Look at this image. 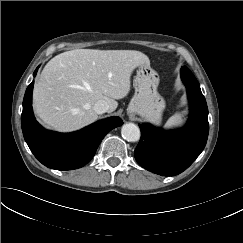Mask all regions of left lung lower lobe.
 Returning a JSON list of instances; mask_svg holds the SVG:
<instances>
[{"label":"left lung lower lobe","instance_id":"1","mask_svg":"<svg viewBox=\"0 0 243 243\" xmlns=\"http://www.w3.org/2000/svg\"><path fill=\"white\" fill-rule=\"evenodd\" d=\"M181 78L191 107L187 125L164 131L139 124L141 139L135 159L143 168L162 176H174L187 169L203 151L208 138V108L200 85L186 66L181 68Z\"/></svg>","mask_w":243,"mask_h":243}]
</instances>
